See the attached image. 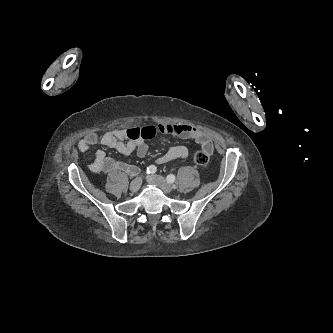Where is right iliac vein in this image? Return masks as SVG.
I'll use <instances>...</instances> for the list:
<instances>
[{
  "mask_svg": "<svg viewBox=\"0 0 333 333\" xmlns=\"http://www.w3.org/2000/svg\"><path fill=\"white\" fill-rule=\"evenodd\" d=\"M142 184V178L141 177H136L130 184V190L132 192H137L139 188L141 187Z\"/></svg>",
  "mask_w": 333,
  "mask_h": 333,
  "instance_id": "obj_1",
  "label": "right iliac vein"
}]
</instances>
